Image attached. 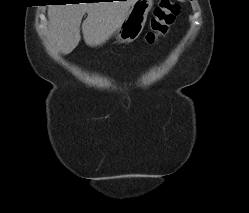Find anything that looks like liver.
I'll list each match as a JSON object with an SVG mask.
<instances>
[{
	"instance_id": "liver-1",
	"label": "liver",
	"mask_w": 249,
	"mask_h": 213,
	"mask_svg": "<svg viewBox=\"0 0 249 213\" xmlns=\"http://www.w3.org/2000/svg\"><path fill=\"white\" fill-rule=\"evenodd\" d=\"M135 0L49 5V36L62 54L71 53L81 40L80 25L86 45L101 46L121 25Z\"/></svg>"
}]
</instances>
